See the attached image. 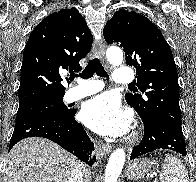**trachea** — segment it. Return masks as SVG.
Instances as JSON below:
<instances>
[{
    "instance_id": "trachea-1",
    "label": "trachea",
    "mask_w": 196,
    "mask_h": 182,
    "mask_svg": "<svg viewBox=\"0 0 196 182\" xmlns=\"http://www.w3.org/2000/svg\"><path fill=\"white\" fill-rule=\"evenodd\" d=\"M94 73H96L100 77L108 78V74L105 71L104 67L102 66L98 58H93L89 60L87 66L85 67L83 72L79 74V76L81 78L88 79V78H91L94 75ZM75 77H78V75L72 74L69 79L73 80ZM130 87L133 88V86H130Z\"/></svg>"
}]
</instances>
